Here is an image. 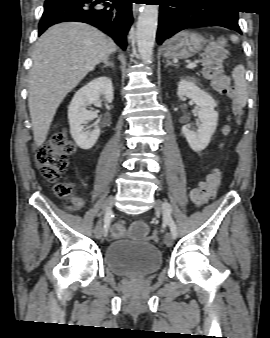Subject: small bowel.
I'll list each match as a JSON object with an SVG mask.
<instances>
[{"label":"small bowel","mask_w":270,"mask_h":338,"mask_svg":"<svg viewBox=\"0 0 270 338\" xmlns=\"http://www.w3.org/2000/svg\"><path fill=\"white\" fill-rule=\"evenodd\" d=\"M72 202L76 203L80 206L82 205V201L79 197H74L72 199ZM120 228H121L120 224L115 225V230L113 232V235L115 237L119 236ZM132 237L135 238V239H138V240H146L147 239V227H146V224L144 222L137 221L133 224Z\"/></svg>","instance_id":"small-bowel-1"}]
</instances>
